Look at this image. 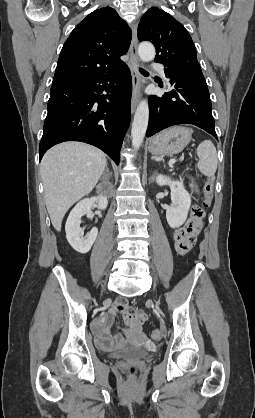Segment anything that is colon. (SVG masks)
Here are the masks:
<instances>
[{
  "instance_id": "5ec220e1",
  "label": "colon",
  "mask_w": 255,
  "mask_h": 418,
  "mask_svg": "<svg viewBox=\"0 0 255 418\" xmlns=\"http://www.w3.org/2000/svg\"><path fill=\"white\" fill-rule=\"evenodd\" d=\"M214 194V178H209L204 186V201L202 206H194L191 209L190 217L186 224L182 228H198L199 232L202 228V220L204 218V209L211 205ZM191 250V249H189ZM154 340H158L161 337V333L155 330L151 334ZM123 372L129 376H134L137 373V366L135 364H126L123 366Z\"/></svg>"
}]
</instances>
